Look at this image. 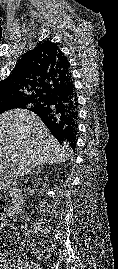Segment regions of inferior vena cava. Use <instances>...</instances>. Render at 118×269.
<instances>
[{"label":"inferior vena cava","mask_w":118,"mask_h":269,"mask_svg":"<svg viewBox=\"0 0 118 269\" xmlns=\"http://www.w3.org/2000/svg\"><path fill=\"white\" fill-rule=\"evenodd\" d=\"M19 202H20V205L23 206L24 199L21 198V199L19 200Z\"/></svg>","instance_id":"1"}]
</instances>
